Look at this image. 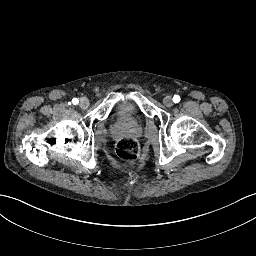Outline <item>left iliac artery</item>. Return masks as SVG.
<instances>
[{"label": "left iliac artery", "mask_w": 256, "mask_h": 256, "mask_svg": "<svg viewBox=\"0 0 256 256\" xmlns=\"http://www.w3.org/2000/svg\"><path fill=\"white\" fill-rule=\"evenodd\" d=\"M179 101H180V96L179 95H174L173 102L178 103Z\"/></svg>", "instance_id": "obj_1"}]
</instances>
